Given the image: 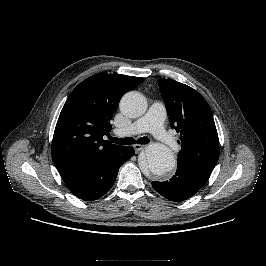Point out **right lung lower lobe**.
I'll list each match as a JSON object with an SVG mask.
<instances>
[{"label": "right lung lower lobe", "mask_w": 266, "mask_h": 266, "mask_svg": "<svg viewBox=\"0 0 266 266\" xmlns=\"http://www.w3.org/2000/svg\"><path fill=\"white\" fill-rule=\"evenodd\" d=\"M131 146L59 169L62 180L78 198L92 201L112 187L120 166L134 155Z\"/></svg>", "instance_id": "98d812e1"}]
</instances>
